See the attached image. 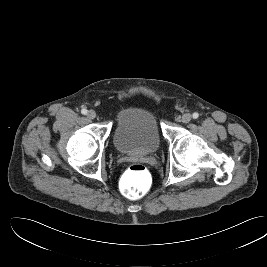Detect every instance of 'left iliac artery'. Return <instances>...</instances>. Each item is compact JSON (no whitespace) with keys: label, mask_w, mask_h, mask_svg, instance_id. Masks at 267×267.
Wrapping results in <instances>:
<instances>
[{"label":"left iliac artery","mask_w":267,"mask_h":267,"mask_svg":"<svg viewBox=\"0 0 267 267\" xmlns=\"http://www.w3.org/2000/svg\"><path fill=\"white\" fill-rule=\"evenodd\" d=\"M192 117H193L194 119H197V118L199 117V114H198L197 112H195V113H193Z\"/></svg>","instance_id":"1"}]
</instances>
